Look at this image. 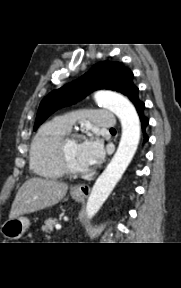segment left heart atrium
Returning a JSON list of instances; mask_svg holds the SVG:
<instances>
[{
    "mask_svg": "<svg viewBox=\"0 0 181 288\" xmlns=\"http://www.w3.org/2000/svg\"><path fill=\"white\" fill-rule=\"evenodd\" d=\"M83 164L88 168L99 163L104 157L102 142L96 135H91L79 145Z\"/></svg>",
    "mask_w": 181,
    "mask_h": 288,
    "instance_id": "obj_1",
    "label": "left heart atrium"
}]
</instances>
